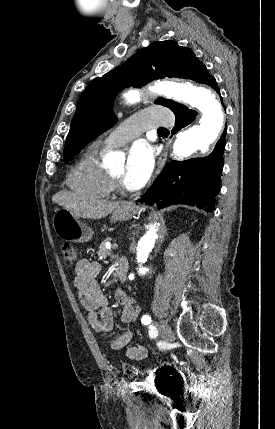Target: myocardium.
Segmentation results:
<instances>
[{
    "instance_id": "f54148a6",
    "label": "myocardium",
    "mask_w": 275,
    "mask_h": 429,
    "mask_svg": "<svg viewBox=\"0 0 275 429\" xmlns=\"http://www.w3.org/2000/svg\"><path fill=\"white\" fill-rule=\"evenodd\" d=\"M108 176H109L111 188L113 191L119 194L126 193L124 186L122 185L121 181L117 177H115L110 171H108Z\"/></svg>"
}]
</instances>
